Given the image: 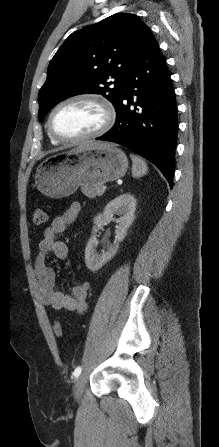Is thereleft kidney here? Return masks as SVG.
I'll list each match as a JSON object with an SVG mask.
<instances>
[{
	"mask_svg": "<svg viewBox=\"0 0 219 447\" xmlns=\"http://www.w3.org/2000/svg\"><path fill=\"white\" fill-rule=\"evenodd\" d=\"M136 210V199L130 193H124L115 199L111 200L104 208L103 213L98 214L94 218V227L92 236L90 237L85 248V263L89 270L95 272L99 270L104 264L110 261L117 253L119 242L123 241L127 230L134 220ZM118 215L116 225V241L111 244L107 243V250L102 253H97L98 240L96 233L99 228L105 223L113 220V216Z\"/></svg>",
	"mask_w": 219,
	"mask_h": 447,
	"instance_id": "5707ae66",
	"label": "left kidney"
}]
</instances>
